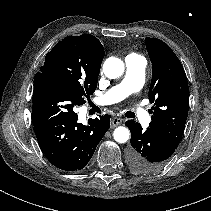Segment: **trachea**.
<instances>
[{"label":"trachea","instance_id":"trachea-1","mask_svg":"<svg viewBox=\"0 0 211 211\" xmlns=\"http://www.w3.org/2000/svg\"><path fill=\"white\" fill-rule=\"evenodd\" d=\"M125 116H126L127 118H135V114H134L133 112H131V111L126 112V113H125Z\"/></svg>","mask_w":211,"mask_h":211}]
</instances>
